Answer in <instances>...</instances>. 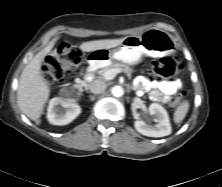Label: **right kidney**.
Returning a JSON list of instances; mask_svg holds the SVG:
<instances>
[{
  "label": "right kidney",
  "mask_w": 222,
  "mask_h": 187,
  "mask_svg": "<svg viewBox=\"0 0 222 187\" xmlns=\"http://www.w3.org/2000/svg\"><path fill=\"white\" fill-rule=\"evenodd\" d=\"M47 119L53 125H66L80 113V106L72 100L53 98L49 102Z\"/></svg>",
  "instance_id": "1"
}]
</instances>
